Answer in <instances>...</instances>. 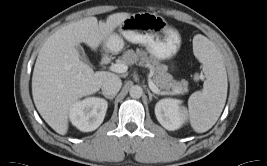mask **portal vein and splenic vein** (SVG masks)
Returning <instances> with one entry per match:
<instances>
[{
	"label": "portal vein and splenic vein",
	"instance_id": "obj_1",
	"mask_svg": "<svg viewBox=\"0 0 267 166\" xmlns=\"http://www.w3.org/2000/svg\"><path fill=\"white\" fill-rule=\"evenodd\" d=\"M110 70L116 73H125L128 70V66L124 63H115L110 66ZM149 88L156 94H161V95H168V94H178L179 91L175 90L173 92H164L158 89V87L153 83L152 80L148 81Z\"/></svg>",
	"mask_w": 267,
	"mask_h": 166
}]
</instances>
